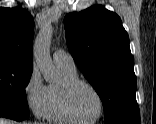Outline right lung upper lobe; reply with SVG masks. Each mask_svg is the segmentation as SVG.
<instances>
[{
  "label": "right lung upper lobe",
  "instance_id": "obj_1",
  "mask_svg": "<svg viewBox=\"0 0 156 124\" xmlns=\"http://www.w3.org/2000/svg\"><path fill=\"white\" fill-rule=\"evenodd\" d=\"M34 21L20 8L0 7V64L33 68Z\"/></svg>",
  "mask_w": 156,
  "mask_h": 124
}]
</instances>
